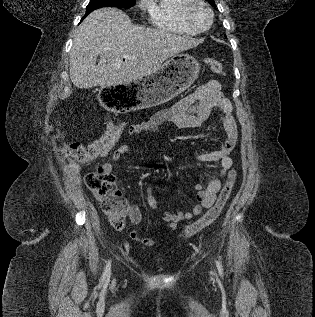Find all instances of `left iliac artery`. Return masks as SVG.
Returning <instances> with one entry per match:
<instances>
[{
	"label": "left iliac artery",
	"instance_id": "44dca946",
	"mask_svg": "<svg viewBox=\"0 0 315 317\" xmlns=\"http://www.w3.org/2000/svg\"><path fill=\"white\" fill-rule=\"evenodd\" d=\"M216 262V266H217V269H218V272L220 275L223 274V268H222V265L220 264L219 261H215Z\"/></svg>",
	"mask_w": 315,
	"mask_h": 317
}]
</instances>
